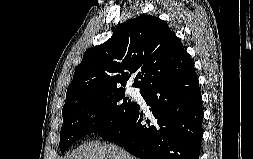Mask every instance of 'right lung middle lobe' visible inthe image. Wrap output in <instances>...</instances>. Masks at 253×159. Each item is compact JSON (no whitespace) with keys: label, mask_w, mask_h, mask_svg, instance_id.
Listing matches in <instances>:
<instances>
[{"label":"right lung middle lobe","mask_w":253,"mask_h":159,"mask_svg":"<svg viewBox=\"0 0 253 159\" xmlns=\"http://www.w3.org/2000/svg\"><path fill=\"white\" fill-rule=\"evenodd\" d=\"M138 107L125 98V90H116L81 97L66 103L62 110L60 150L65 152L76 140L102 133L123 123ZM88 114H95L94 122Z\"/></svg>","instance_id":"obj_1"}]
</instances>
